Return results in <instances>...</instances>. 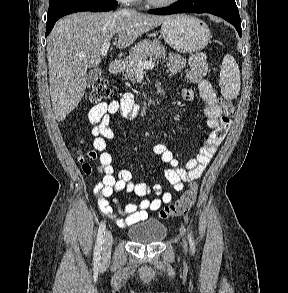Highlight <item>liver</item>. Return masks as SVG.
<instances>
[{"instance_id":"6515ba94","label":"liver","mask_w":288,"mask_h":293,"mask_svg":"<svg viewBox=\"0 0 288 293\" xmlns=\"http://www.w3.org/2000/svg\"><path fill=\"white\" fill-rule=\"evenodd\" d=\"M168 18L120 9L75 13L57 21L47 45L50 96L56 120L63 121L81 101L87 70L100 63L104 43L114 38L117 48H126Z\"/></svg>"}]
</instances>
